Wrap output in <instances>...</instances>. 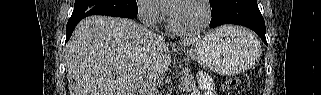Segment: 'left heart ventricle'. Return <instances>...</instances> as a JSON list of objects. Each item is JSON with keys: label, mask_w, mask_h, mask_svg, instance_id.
<instances>
[{"label": "left heart ventricle", "mask_w": 321, "mask_h": 95, "mask_svg": "<svg viewBox=\"0 0 321 95\" xmlns=\"http://www.w3.org/2000/svg\"><path fill=\"white\" fill-rule=\"evenodd\" d=\"M170 17L176 28L189 30L201 24L203 13L201 7L196 3H184L177 6Z\"/></svg>", "instance_id": "1"}]
</instances>
